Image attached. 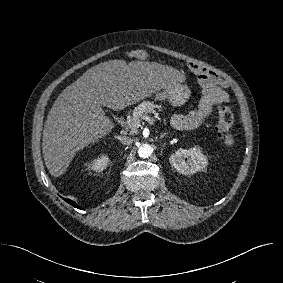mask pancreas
I'll return each instance as SVG.
<instances>
[{"instance_id":"cf45deb5","label":"pancreas","mask_w":283,"mask_h":283,"mask_svg":"<svg viewBox=\"0 0 283 283\" xmlns=\"http://www.w3.org/2000/svg\"><path fill=\"white\" fill-rule=\"evenodd\" d=\"M156 109L159 111L162 110V106L158 104L151 103L149 101H144L141 104H139L134 110L132 114V118L128 120L130 123V126H127L128 129L135 133L137 132V128L140 126V122L142 120V117L147 115L148 113H153L157 115Z\"/></svg>"}]
</instances>
